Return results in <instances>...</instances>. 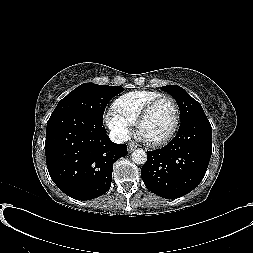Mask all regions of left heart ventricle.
<instances>
[{
  "instance_id": "left-heart-ventricle-1",
  "label": "left heart ventricle",
  "mask_w": 253,
  "mask_h": 253,
  "mask_svg": "<svg viewBox=\"0 0 253 253\" xmlns=\"http://www.w3.org/2000/svg\"><path fill=\"white\" fill-rule=\"evenodd\" d=\"M175 121V109L168 101L159 103L141 128L143 138L155 141L165 137L172 129Z\"/></svg>"
}]
</instances>
